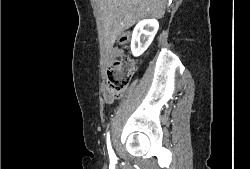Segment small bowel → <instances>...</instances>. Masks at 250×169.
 I'll return each mask as SVG.
<instances>
[{"instance_id": "1", "label": "small bowel", "mask_w": 250, "mask_h": 169, "mask_svg": "<svg viewBox=\"0 0 250 169\" xmlns=\"http://www.w3.org/2000/svg\"><path fill=\"white\" fill-rule=\"evenodd\" d=\"M121 54L120 50L117 47H113L109 50V55H110V61L109 63H113L114 59L119 57ZM103 98L104 101L108 104H111L114 100V98L111 96V94L109 93L108 88H105L103 91Z\"/></svg>"}]
</instances>
